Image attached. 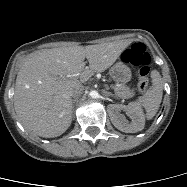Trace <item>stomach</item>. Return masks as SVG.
<instances>
[{
  "instance_id": "1",
  "label": "stomach",
  "mask_w": 187,
  "mask_h": 187,
  "mask_svg": "<svg viewBox=\"0 0 187 187\" xmlns=\"http://www.w3.org/2000/svg\"><path fill=\"white\" fill-rule=\"evenodd\" d=\"M109 73L115 81L122 83L129 82L132 76L130 68L122 61L112 66Z\"/></svg>"
}]
</instances>
